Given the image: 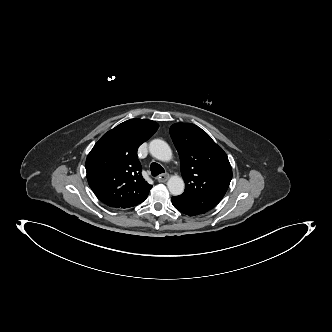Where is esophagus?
<instances>
[{
    "label": "esophagus",
    "mask_w": 332,
    "mask_h": 332,
    "mask_svg": "<svg viewBox=\"0 0 332 332\" xmlns=\"http://www.w3.org/2000/svg\"><path fill=\"white\" fill-rule=\"evenodd\" d=\"M168 178H169V174H168V173H165V174H161V175L157 178V180H158V182L163 183V182H166V181L168 180Z\"/></svg>",
    "instance_id": "1"
}]
</instances>
